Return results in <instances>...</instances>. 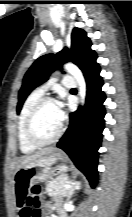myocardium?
<instances>
[{
    "label": "myocardium",
    "mask_w": 132,
    "mask_h": 217,
    "mask_svg": "<svg viewBox=\"0 0 132 217\" xmlns=\"http://www.w3.org/2000/svg\"><path fill=\"white\" fill-rule=\"evenodd\" d=\"M50 103H54V99L51 97H43L32 108L25 125V135L28 142L36 147H45L51 145L59 140L64 131V124L61 122L58 132L49 140H41L35 133L34 123L37 115L41 109Z\"/></svg>",
    "instance_id": "1"
}]
</instances>
